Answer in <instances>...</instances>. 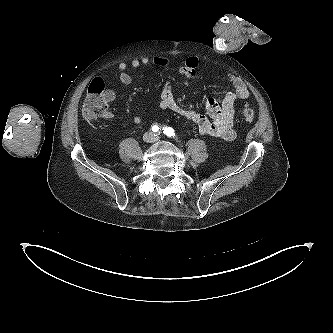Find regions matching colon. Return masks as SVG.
Instances as JSON below:
<instances>
[{
  "mask_svg": "<svg viewBox=\"0 0 333 333\" xmlns=\"http://www.w3.org/2000/svg\"><path fill=\"white\" fill-rule=\"evenodd\" d=\"M104 92V81L101 78H95L88 88L83 103L82 112L85 119L92 121L106 115L108 112V105L104 97ZM255 117L256 113L253 108L247 105L243 107L240 114L241 121L251 123L254 121Z\"/></svg>",
  "mask_w": 333,
  "mask_h": 333,
  "instance_id": "5ec220e1",
  "label": "colon"
}]
</instances>
